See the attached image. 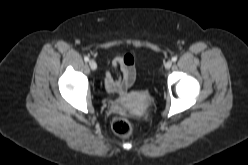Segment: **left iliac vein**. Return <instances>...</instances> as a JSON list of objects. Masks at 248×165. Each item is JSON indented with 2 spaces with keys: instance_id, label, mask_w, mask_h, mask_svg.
<instances>
[{
  "instance_id": "4c4485c4",
  "label": "left iliac vein",
  "mask_w": 248,
  "mask_h": 165,
  "mask_svg": "<svg viewBox=\"0 0 248 165\" xmlns=\"http://www.w3.org/2000/svg\"><path fill=\"white\" fill-rule=\"evenodd\" d=\"M171 66H172V61H167L166 63H165V68L166 69H170L171 68Z\"/></svg>"
}]
</instances>
